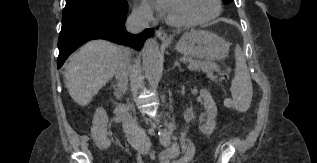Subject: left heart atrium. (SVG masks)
Returning <instances> with one entry per match:
<instances>
[{
    "label": "left heart atrium",
    "mask_w": 317,
    "mask_h": 163,
    "mask_svg": "<svg viewBox=\"0 0 317 163\" xmlns=\"http://www.w3.org/2000/svg\"><path fill=\"white\" fill-rule=\"evenodd\" d=\"M159 5L164 7V0H160Z\"/></svg>",
    "instance_id": "left-heart-atrium-1"
}]
</instances>
